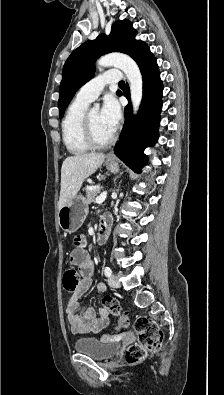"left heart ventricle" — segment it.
Segmentation results:
<instances>
[{
	"label": "left heart ventricle",
	"instance_id": "left-heart-ventricle-1",
	"mask_svg": "<svg viewBox=\"0 0 224 395\" xmlns=\"http://www.w3.org/2000/svg\"><path fill=\"white\" fill-rule=\"evenodd\" d=\"M90 121L94 136L98 141H105L113 134V132L103 122L99 110L90 111Z\"/></svg>",
	"mask_w": 224,
	"mask_h": 395
}]
</instances>
